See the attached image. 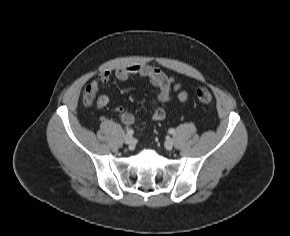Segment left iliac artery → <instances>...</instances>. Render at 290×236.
<instances>
[{
	"label": "left iliac artery",
	"instance_id": "obj_1",
	"mask_svg": "<svg viewBox=\"0 0 290 236\" xmlns=\"http://www.w3.org/2000/svg\"><path fill=\"white\" fill-rule=\"evenodd\" d=\"M170 134H173L174 132H175V130L174 129H169V131H168Z\"/></svg>",
	"mask_w": 290,
	"mask_h": 236
}]
</instances>
